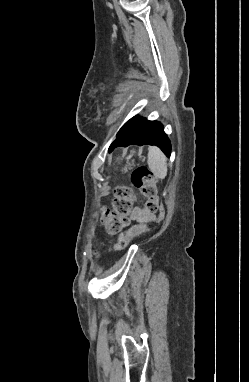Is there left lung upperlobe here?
<instances>
[{"mask_svg": "<svg viewBox=\"0 0 249 382\" xmlns=\"http://www.w3.org/2000/svg\"><path fill=\"white\" fill-rule=\"evenodd\" d=\"M140 119V117L138 116H135L133 118H131L129 121H127L123 127L119 130V132L117 133V135L119 133H123L125 131H127L128 129H130L138 120Z\"/></svg>", "mask_w": 249, "mask_h": 382, "instance_id": "left-lung-upper-lobe-1", "label": "left lung upper lobe"}]
</instances>
